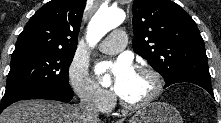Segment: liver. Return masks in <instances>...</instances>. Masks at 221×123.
Segmentation results:
<instances>
[{
    "label": "liver",
    "instance_id": "obj_1",
    "mask_svg": "<svg viewBox=\"0 0 221 123\" xmlns=\"http://www.w3.org/2000/svg\"><path fill=\"white\" fill-rule=\"evenodd\" d=\"M0 123H83L78 107L55 101H21L6 108ZM96 123H101L99 120Z\"/></svg>",
    "mask_w": 221,
    "mask_h": 123
}]
</instances>
